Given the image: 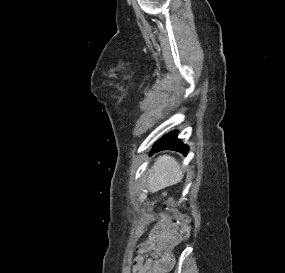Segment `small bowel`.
Returning <instances> with one entry per match:
<instances>
[{"mask_svg":"<svg viewBox=\"0 0 285 273\" xmlns=\"http://www.w3.org/2000/svg\"><path fill=\"white\" fill-rule=\"evenodd\" d=\"M179 240L175 224L161 215L150 236L137 247L133 273H166L173 265L172 249Z\"/></svg>","mask_w":285,"mask_h":273,"instance_id":"c3829d8e","label":"small bowel"}]
</instances>
